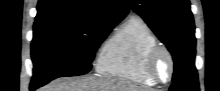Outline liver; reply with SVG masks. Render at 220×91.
I'll list each match as a JSON object with an SVG mask.
<instances>
[{"label":"liver","mask_w":220,"mask_h":91,"mask_svg":"<svg viewBox=\"0 0 220 91\" xmlns=\"http://www.w3.org/2000/svg\"><path fill=\"white\" fill-rule=\"evenodd\" d=\"M39 91H144L129 82L103 77L58 78Z\"/></svg>","instance_id":"liver-1"}]
</instances>
